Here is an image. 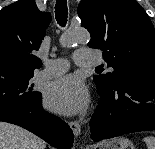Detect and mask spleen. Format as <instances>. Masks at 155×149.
Returning a JSON list of instances; mask_svg holds the SVG:
<instances>
[{
    "instance_id": "obj_1",
    "label": "spleen",
    "mask_w": 155,
    "mask_h": 149,
    "mask_svg": "<svg viewBox=\"0 0 155 149\" xmlns=\"http://www.w3.org/2000/svg\"><path fill=\"white\" fill-rule=\"evenodd\" d=\"M143 141L147 145V149H155V137L147 136L143 138Z\"/></svg>"
}]
</instances>
